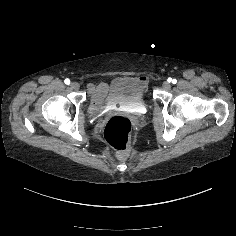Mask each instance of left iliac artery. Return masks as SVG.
Returning a JSON list of instances; mask_svg holds the SVG:
<instances>
[{"mask_svg":"<svg viewBox=\"0 0 236 236\" xmlns=\"http://www.w3.org/2000/svg\"><path fill=\"white\" fill-rule=\"evenodd\" d=\"M171 80H172V79H171ZM176 82H177L176 79H173V80H172V83H173V84H176Z\"/></svg>","mask_w":236,"mask_h":236,"instance_id":"1","label":"left iliac artery"}]
</instances>
